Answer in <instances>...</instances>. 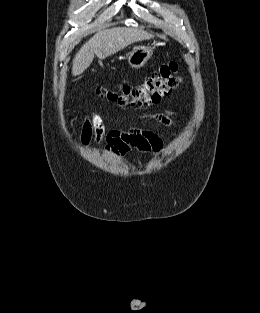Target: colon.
I'll list each match as a JSON object with an SVG mask.
<instances>
[{
	"label": "colon",
	"instance_id": "obj_1",
	"mask_svg": "<svg viewBox=\"0 0 260 313\" xmlns=\"http://www.w3.org/2000/svg\"><path fill=\"white\" fill-rule=\"evenodd\" d=\"M180 82L178 64L172 61L162 65L159 70L137 85H118L115 88L100 86L96 92L120 105L144 107L158 103Z\"/></svg>",
	"mask_w": 260,
	"mask_h": 313
}]
</instances>
